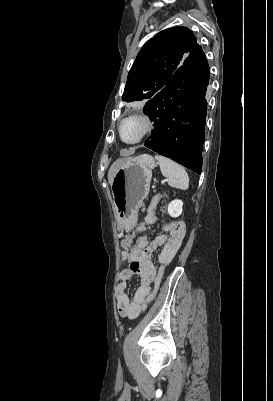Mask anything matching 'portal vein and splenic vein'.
Instances as JSON below:
<instances>
[{
    "mask_svg": "<svg viewBox=\"0 0 273 401\" xmlns=\"http://www.w3.org/2000/svg\"><path fill=\"white\" fill-rule=\"evenodd\" d=\"M165 180H168V178H164V180H162V182H165Z\"/></svg>",
    "mask_w": 273,
    "mask_h": 401,
    "instance_id": "obj_1",
    "label": "portal vein and splenic vein"
}]
</instances>
